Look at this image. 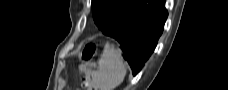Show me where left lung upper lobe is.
<instances>
[{"label":"left lung upper lobe","instance_id":"obj_1","mask_svg":"<svg viewBox=\"0 0 228 90\" xmlns=\"http://www.w3.org/2000/svg\"><path fill=\"white\" fill-rule=\"evenodd\" d=\"M132 2L133 0H92V13L95 24L103 32L126 10H130Z\"/></svg>","mask_w":228,"mask_h":90}]
</instances>
